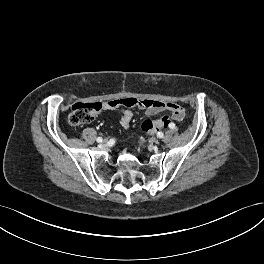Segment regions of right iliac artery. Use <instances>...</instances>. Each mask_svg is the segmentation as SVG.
Masks as SVG:
<instances>
[{"instance_id": "obj_1", "label": "right iliac artery", "mask_w": 264, "mask_h": 264, "mask_svg": "<svg viewBox=\"0 0 264 264\" xmlns=\"http://www.w3.org/2000/svg\"><path fill=\"white\" fill-rule=\"evenodd\" d=\"M96 140L98 143H101V140H103V139H102V137H98Z\"/></svg>"}]
</instances>
